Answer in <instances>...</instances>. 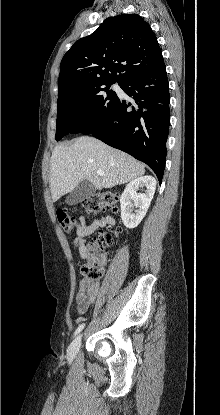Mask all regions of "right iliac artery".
<instances>
[{
	"mask_svg": "<svg viewBox=\"0 0 220 415\" xmlns=\"http://www.w3.org/2000/svg\"><path fill=\"white\" fill-rule=\"evenodd\" d=\"M84 326H85V324H84V323H83V324H80V325L78 326V328L76 329V331H75V333H74V336H76L77 334H79V333L83 330Z\"/></svg>",
	"mask_w": 220,
	"mask_h": 415,
	"instance_id": "right-iliac-artery-1",
	"label": "right iliac artery"
}]
</instances>
